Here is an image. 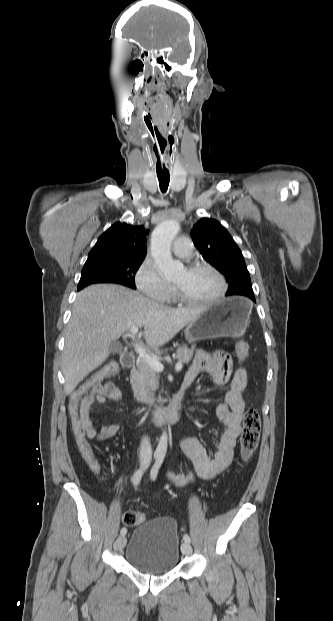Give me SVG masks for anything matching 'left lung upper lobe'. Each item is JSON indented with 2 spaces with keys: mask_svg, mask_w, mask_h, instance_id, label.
<instances>
[{
  "mask_svg": "<svg viewBox=\"0 0 333 621\" xmlns=\"http://www.w3.org/2000/svg\"><path fill=\"white\" fill-rule=\"evenodd\" d=\"M191 236L203 258L227 277L226 296L240 295L255 301L242 252L227 230L217 220L202 218L193 226Z\"/></svg>",
  "mask_w": 333,
  "mask_h": 621,
  "instance_id": "obj_1",
  "label": "left lung upper lobe"
}]
</instances>
